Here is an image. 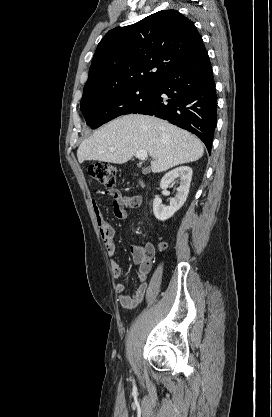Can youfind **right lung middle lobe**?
I'll return each mask as SVG.
<instances>
[{
	"label": "right lung middle lobe",
	"instance_id": "1",
	"mask_svg": "<svg viewBox=\"0 0 272 417\" xmlns=\"http://www.w3.org/2000/svg\"><path fill=\"white\" fill-rule=\"evenodd\" d=\"M155 83L136 85L100 96L83 95L80 107L87 125L95 129L148 102L154 95Z\"/></svg>",
	"mask_w": 272,
	"mask_h": 417
}]
</instances>
